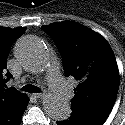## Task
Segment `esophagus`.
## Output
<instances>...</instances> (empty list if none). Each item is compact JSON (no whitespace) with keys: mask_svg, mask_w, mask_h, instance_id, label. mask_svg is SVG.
<instances>
[{"mask_svg":"<svg viewBox=\"0 0 125 125\" xmlns=\"http://www.w3.org/2000/svg\"><path fill=\"white\" fill-rule=\"evenodd\" d=\"M32 96L35 98H42L45 96V94L44 93H35V94H32Z\"/></svg>","mask_w":125,"mask_h":125,"instance_id":"34e87169","label":"esophagus"}]
</instances>
